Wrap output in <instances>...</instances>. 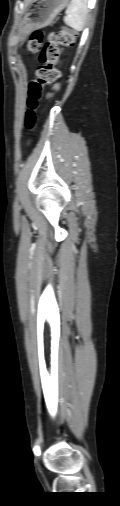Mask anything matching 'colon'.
Segmentation results:
<instances>
[{"instance_id":"1","label":"colon","mask_w":120,"mask_h":506,"mask_svg":"<svg viewBox=\"0 0 120 506\" xmlns=\"http://www.w3.org/2000/svg\"><path fill=\"white\" fill-rule=\"evenodd\" d=\"M75 38L76 31L70 28H61L55 33L53 39L45 43L41 31H35L31 34L28 50L30 53H40V65L36 70L35 79L30 82L28 88V110L25 119V127L28 131L33 130L36 126L37 115L35 111L42 96L43 86L54 83L60 76L58 69L55 67L60 48L72 45Z\"/></svg>"}]
</instances>
